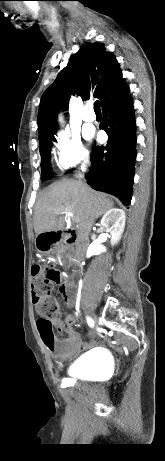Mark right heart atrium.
Segmentation results:
<instances>
[{"instance_id":"d8ad5b80","label":"right heart atrium","mask_w":165,"mask_h":461,"mask_svg":"<svg viewBox=\"0 0 165 461\" xmlns=\"http://www.w3.org/2000/svg\"><path fill=\"white\" fill-rule=\"evenodd\" d=\"M56 161L62 169L86 164L89 155L78 134L61 131L55 139Z\"/></svg>"}]
</instances>
